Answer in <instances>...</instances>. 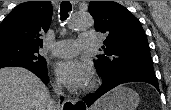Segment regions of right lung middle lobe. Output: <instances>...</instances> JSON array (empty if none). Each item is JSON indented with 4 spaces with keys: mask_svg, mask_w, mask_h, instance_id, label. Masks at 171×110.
Wrapping results in <instances>:
<instances>
[{
    "mask_svg": "<svg viewBox=\"0 0 171 110\" xmlns=\"http://www.w3.org/2000/svg\"><path fill=\"white\" fill-rule=\"evenodd\" d=\"M24 67L40 72L47 71V63L39 54V49L16 44L0 45V68Z\"/></svg>",
    "mask_w": 171,
    "mask_h": 110,
    "instance_id": "right-lung-middle-lobe-1",
    "label": "right lung middle lobe"
}]
</instances>
